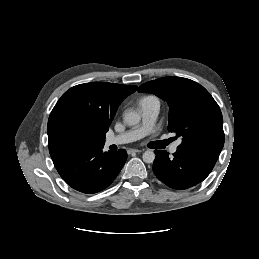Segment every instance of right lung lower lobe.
<instances>
[{
	"instance_id": "right-lung-lower-lobe-1",
	"label": "right lung lower lobe",
	"mask_w": 259,
	"mask_h": 259,
	"mask_svg": "<svg viewBox=\"0 0 259 259\" xmlns=\"http://www.w3.org/2000/svg\"><path fill=\"white\" fill-rule=\"evenodd\" d=\"M103 147L78 149L51 155L62 179L82 193H96L108 187L127 159L125 150L103 152Z\"/></svg>"
}]
</instances>
